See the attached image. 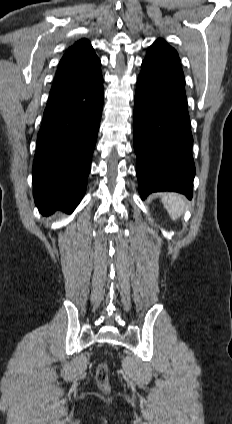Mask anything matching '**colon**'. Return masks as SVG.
Returning <instances> with one entry per match:
<instances>
[{"label": "colon", "mask_w": 232, "mask_h": 424, "mask_svg": "<svg viewBox=\"0 0 232 424\" xmlns=\"http://www.w3.org/2000/svg\"><path fill=\"white\" fill-rule=\"evenodd\" d=\"M96 381L100 388L107 389L109 385L108 367L105 363L98 366L96 371Z\"/></svg>", "instance_id": "obj_1"}]
</instances>
